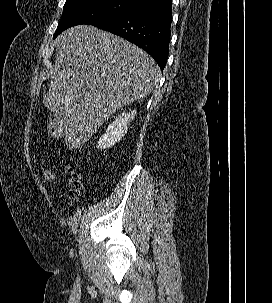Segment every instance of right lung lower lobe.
<instances>
[{
	"instance_id": "obj_1",
	"label": "right lung lower lobe",
	"mask_w": 272,
	"mask_h": 303,
	"mask_svg": "<svg viewBox=\"0 0 272 303\" xmlns=\"http://www.w3.org/2000/svg\"><path fill=\"white\" fill-rule=\"evenodd\" d=\"M172 0H156L94 24L139 46L164 69L169 53Z\"/></svg>"
}]
</instances>
